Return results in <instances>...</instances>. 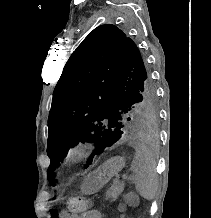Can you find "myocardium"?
<instances>
[{
  "instance_id": "1",
  "label": "myocardium",
  "mask_w": 211,
  "mask_h": 218,
  "mask_svg": "<svg viewBox=\"0 0 211 218\" xmlns=\"http://www.w3.org/2000/svg\"><path fill=\"white\" fill-rule=\"evenodd\" d=\"M83 153H84L83 145L76 144L69 150L67 158L69 160H75L80 158L83 155Z\"/></svg>"
}]
</instances>
